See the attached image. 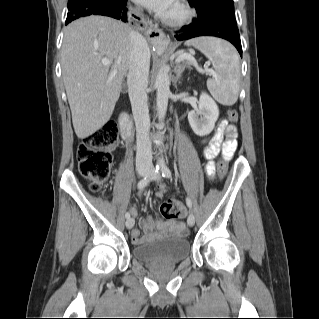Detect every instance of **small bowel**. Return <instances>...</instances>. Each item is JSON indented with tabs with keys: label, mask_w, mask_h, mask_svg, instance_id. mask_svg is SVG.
I'll return each mask as SVG.
<instances>
[{
	"label": "small bowel",
	"mask_w": 319,
	"mask_h": 319,
	"mask_svg": "<svg viewBox=\"0 0 319 319\" xmlns=\"http://www.w3.org/2000/svg\"><path fill=\"white\" fill-rule=\"evenodd\" d=\"M237 136L238 133L235 126L229 124L225 119L219 122L214 136L207 142L204 149V156L209 160L205 167V172L209 179L215 178V165L212 159L219 151L222 152L224 158L227 160L230 159L237 145ZM161 194V191H157V196L160 197ZM179 204L183 209L181 216H185L186 208L181 202H179ZM130 211L133 215H137L138 213L136 208H130ZM143 228L145 231V237L141 236V233L137 228L132 231V241L134 243H143L148 238H151L157 231L162 232L169 230L184 233L186 230V224L183 221L167 224L161 221L156 222L151 219H147L143 222Z\"/></svg>",
	"instance_id": "c3829d8e"
}]
</instances>
